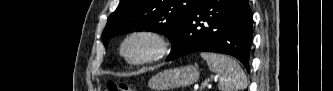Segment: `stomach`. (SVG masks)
Wrapping results in <instances>:
<instances>
[{
	"instance_id": "0dacf381",
	"label": "stomach",
	"mask_w": 333,
	"mask_h": 91,
	"mask_svg": "<svg viewBox=\"0 0 333 91\" xmlns=\"http://www.w3.org/2000/svg\"><path fill=\"white\" fill-rule=\"evenodd\" d=\"M199 75L197 67L191 65L182 66L157 73L149 80L148 86L154 91H168L196 83Z\"/></svg>"
}]
</instances>
